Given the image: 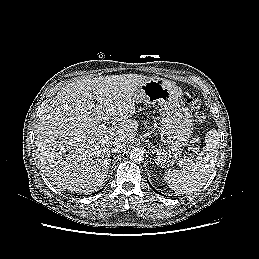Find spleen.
I'll use <instances>...</instances> for the list:
<instances>
[{"label": "spleen", "instance_id": "spleen-1", "mask_svg": "<svg viewBox=\"0 0 259 259\" xmlns=\"http://www.w3.org/2000/svg\"><path fill=\"white\" fill-rule=\"evenodd\" d=\"M220 135L215 129L207 132L205 146L197 156L185 160L182 170H169L164 180L177 194H191L202 188L211 176L219 153Z\"/></svg>", "mask_w": 259, "mask_h": 259}]
</instances>
